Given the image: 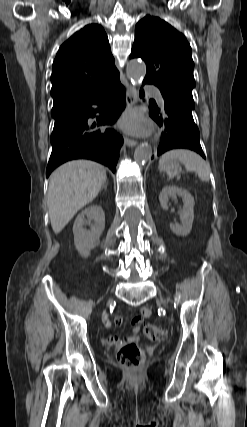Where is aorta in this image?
<instances>
[{
    "instance_id": "aorta-1",
    "label": "aorta",
    "mask_w": 247,
    "mask_h": 427,
    "mask_svg": "<svg viewBox=\"0 0 247 427\" xmlns=\"http://www.w3.org/2000/svg\"><path fill=\"white\" fill-rule=\"evenodd\" d=\"M127 76L132 83H140L146 74V66L137 61H131L127 66ZM152 157V147L149 145L139 146L134 153V160L144 164Z\"/></svg>"
}]
</instances>
